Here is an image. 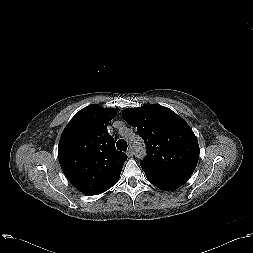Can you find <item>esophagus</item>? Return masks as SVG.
<instances>
[{
	"instance_id": "34e87169",
	"label": "esophagus",
	"mask_w": 253,
	"mask_h": 253,
	"mask_svg": "<svg viewBox=\"0 0 253 253\" xmlns=\"http://www.w3.org/2000/svg\"><path fill=\"white\" fill-rule=\"evenodd\" d=\"M126 154L129 158L133 157V151L131 149H128Z\"/></svg>"
}]
</instances>
